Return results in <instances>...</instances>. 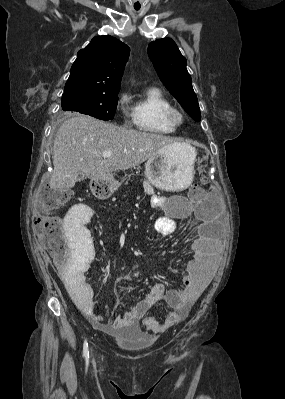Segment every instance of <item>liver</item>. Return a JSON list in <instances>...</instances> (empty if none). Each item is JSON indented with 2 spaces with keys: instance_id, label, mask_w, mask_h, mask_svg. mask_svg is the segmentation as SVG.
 Listing matches in <instances>:
<instances>
[{
  "instance_id": "obj_1",
  "label": "liver",
  "mask_w": 285,
  "mask_h": 399,
  "mask_svg": "<svg viewBox=\"0 0 285 399\" xmlns=\"http://www.w3.org/2000/svg\"><path fill=\"white\" fill-rule=\"evenodd\" d=\"M177 144L166 136L118 127L88 115L65 120L53 145L51 189L74 187L78 173L91 179L140 165L165 148ZM113 154L102 157V153Z\"/></svg>"
}]
</instances>
